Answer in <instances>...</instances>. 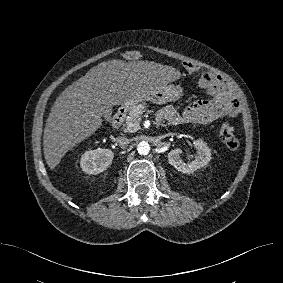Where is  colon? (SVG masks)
Masks as SVG:
<instances>
[{
	"label": "colon",
	"mask_w": 283,
	"mask_h": 283,
	"mask_svg": "<svg viewBox=\"0 0 283 283\" xmlns=\"http://www.w3.org/2000/svg\"><path fill=\"white\" fill-rule=\"evenodd\" d=\"M219 138L221 142L230 150H236L239 147V140L234 135L232 127L228 121H225L221 124L219 129Z\"/></svg>",
	"instance_id": "1"
}]
</instances>
